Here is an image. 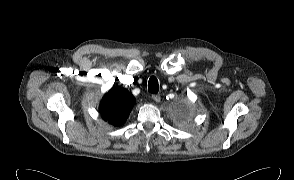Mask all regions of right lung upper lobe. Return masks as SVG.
I'll list each match as a JSON object with an SVG mask.
<instances>
[{
    "label": "right lung upper lobe",
    "instance_id": "1",
    "mask_svg": "<svg viewBox=\"0 0 294 180\" xmlns=\"http://www.w3.org/2000/svg\"><path fill=\"white\" fill-rule=\"evenodd\" d=\"M135 103L134 96L123 88L113 87L102 99L100 113L111 125H122Z\"/></svg>",
    "mask_w": 294,
    "mask_h": 180
}]
</instances>
